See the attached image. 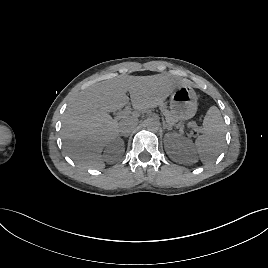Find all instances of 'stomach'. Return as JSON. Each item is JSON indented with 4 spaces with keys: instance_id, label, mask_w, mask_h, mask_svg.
Listing matches in <instances>:
<instances>
[{
    "instance_id": "0dacf381",
    "label": "stomach",
    "mask_w": 268,
    "mask_h": 268,
    "mask_svg": "<svg viewBox=\"0 0 268 268\" xmlns=\"http://www.w3.org/2000/svg\"><path fill=\"white\" fill-rule=\"evenodd\" d=\"M197 96L192 87L181 85L177 87L170 100V114L176 121H187L197 112Z\"/></svg>"
}]
</instances>
